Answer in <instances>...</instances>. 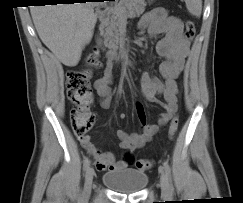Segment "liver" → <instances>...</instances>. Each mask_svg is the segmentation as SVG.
Masks as SVG:
<instances>
[{"label":"liver","mask_w":243,"mask_h":203,"mask_svg":"<svg viewBox=\"0 0 243 203\" xmlns=\"http://www.w3.org/2000/svg\"><path fill=\"white\" fill-rule=\"evenodd\" d=\"M92 2L32 6L31 16L41 41L66 66L79 63L97 22Z\"/></svg>","instance_id":"6515ba94"}]
</instances>
